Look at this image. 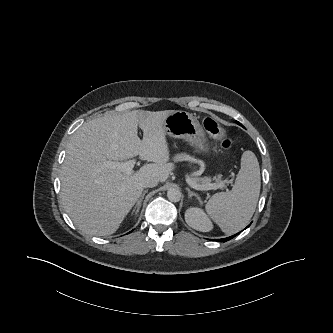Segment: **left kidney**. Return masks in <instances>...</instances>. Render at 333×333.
<instances>
[{
    "label": "left kidney",
    "mask_w": 333,
    "mask_h": 333,
    "mask_svg": "<svg viewBox=\"0 0 333 333\" xmlns=\"http://www.w3.org/2000/svg\"><path fill=\"white\" fill-rule=\"evenodd\" d=\"M185 221L195 230L209 232L213 229V224L201 208L190 207L185 212Z\"/></svg>",
    "instance_id": "obj_1"
}]
</instances>
